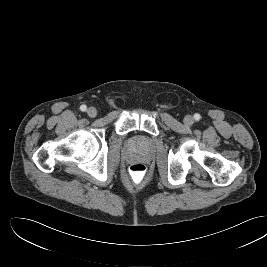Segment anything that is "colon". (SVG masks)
<instances>
[{"label": "colon", "mask_w": 267, "mask_h": 267, "mask_svg": "<svg viewBox=\"0 0 267 267\" xmlns=\"http://www.w3.org/2000/svg\"><path fill=\"white\" fill-rule=\"evenodd\" d=\"M147 174V168L142 163H134L129 168V177L135 184L143 182Z\"/></svg>", "instance_id": "5ec220e1"}]
</instances>
